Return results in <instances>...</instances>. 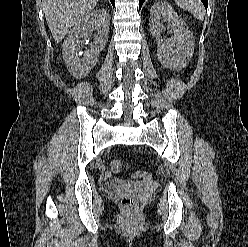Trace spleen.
<instances>
[{
	"instance_id": "spleen-1",
	"label": "spleen",
	"mask_w": 248,
	"mask_h": 247,
	"mask_svg": "<svg viewBox=\"0 0 248 247\" xmlns=\"http://www.w3.org/2000/svg\"><path fill=\"white\" fill-rule=\"evenodd\" d=\"M184 10L190 11L197 19L203 21L205 10L200 0H175Z\"/></svg>"
}]
</instances>
